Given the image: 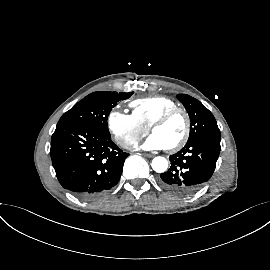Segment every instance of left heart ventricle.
Masks as SVG:
<instances>
[{"label": "left heart ventricle", "mask_w": 270, "mask_h": 270, "mask_svg": "<svg viewBox=\"0 0 270 270\" xmlns=\"http://www.w3.org/2000/svg\"><path fill=\"white\" fill-rule=\"evenodd\" d=\"M185 126L184 116L177 114L165 124L155 128L153 134L157 135L167 148L176 144L181 139L185 131Z\"/></svg>", "instance_id": "1"}]
</instances>
